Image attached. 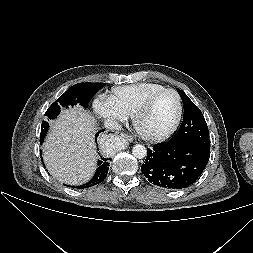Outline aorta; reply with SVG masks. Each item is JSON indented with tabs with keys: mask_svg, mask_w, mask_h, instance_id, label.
I'll list each match as a JSON object with an SVG mask.
<instances>
[{
	"mask_svg": "<svg viewBox=\"0 0 253 253\" xmlns=\"http://www.w3.org/2000/svg\"><path fill=\"white\" fill-rule=\"evenodd\" d=\"M113 148L115 149V146ZM132 154L137 159H143L147 155V149L145 146L137 144L133 147Z\"/></svg>",
	"mask_w": 253,
	"mask_h": 253,
	"instance_id": "762f6f07",
	"label": "aorta"
}]
</instances>
